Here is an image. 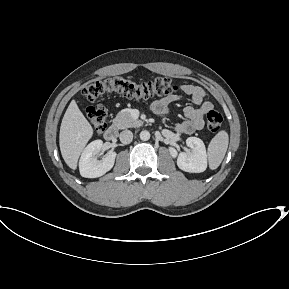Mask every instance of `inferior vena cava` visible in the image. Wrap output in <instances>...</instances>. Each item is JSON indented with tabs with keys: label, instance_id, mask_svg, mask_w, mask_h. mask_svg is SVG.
<instances>
[{
	"label": "inferior vena cava",
	"instance_id": "inferior-vena-cava-1",
	"mask_svg": "<svg viewBox=\"0 0 289 289\" xmlns=\"http://www.w3.org/2000/svg\"><path fill=\"white\" fill-rule=\"evenodd\" d=\"M119 138L123 144H129L133 140V133L130 130H124L120 133Z\"/></svg>",
	"mask_w": 289,
	"mask_h": 289
}]
</instances>
